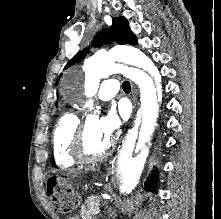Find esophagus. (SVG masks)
Here are the masks:
<instances>
[{
  "label": "esophagus",
  "instance_id": "esophagus-1",
  "mask_svg": "<svg viewBox=\"0 0 221 219\" xmlns=\"http://www.w3.org/2000/svg\"><path fill=\"white\" fill-rule=\"evenodd\" d=\"M135 100H136V91H135V89L133 88V89H132V101L135 102Z\"/></svg>",
  "mask_w": 221,
  "mask_h": 219
}]
</instances>
